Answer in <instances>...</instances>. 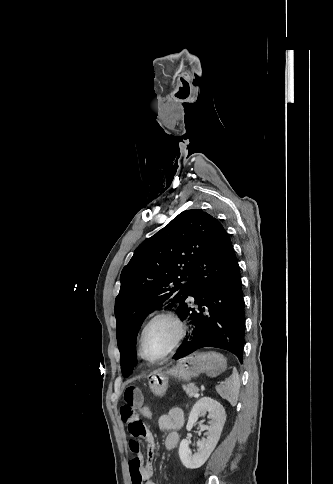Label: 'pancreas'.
<instances>
[{
	"label": "pancreas",
	"mask_w": 333,
	"mask_h": 484,
	"mask_svg": "<svg viewBox=\"0 0 333 484\" xmlns=\"http://www.w3.org/2000/svg\"><path fill=\"white\" fill-rule=\"evenodd\" d=\"M183 390L186 391V394L189 396V397H192L193 394L195 393V389L197 388L194 384L190 383V384H187V385H183L182 386Z\"/></svg>",
	"instance_id": "1"
}]
</instances>
